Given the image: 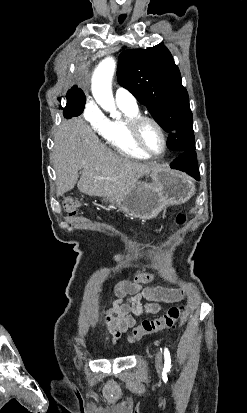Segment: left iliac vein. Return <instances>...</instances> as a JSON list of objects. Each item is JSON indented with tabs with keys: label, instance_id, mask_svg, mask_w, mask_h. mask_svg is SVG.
<instances>
[{
	"label": "left iliac vein",
	"instance_id": "obj_1",
	"mask_svg": "<svg viewBox=\"0 0 247 413\" xmlns=\"http://www.w3.org/2000/svg\"><path fill=\"white\" fill-rule=\"evenodd\" d=\"M155 368L160 373L163 370V358H162V353L160 351H158L155 355Z\"/></svg>",
	"mask_w": 247,
	"mask_h": 413
}]
</instances>
